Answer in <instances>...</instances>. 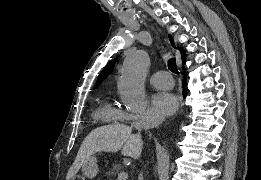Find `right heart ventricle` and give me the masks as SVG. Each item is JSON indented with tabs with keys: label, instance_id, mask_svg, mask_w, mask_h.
Returning a JSON list of instances; mask_svg holds the SVG:
<instances>
[{
	"label": "right heart ventricle",
	"instance_id": "1",
	"mask_svg": "<svg viewBox=\"0 0 261 180\" xmlns=\"http://www.w3.org/2000/svg\"><path fill=\"white\" fill-rule=\"evenodd\" d=\"M120 112L114 106L113 101L110 98L104 99L96 105V109L93 115V121H108V122H120ZM146 119L151 117L150 113H145ZM94 127H107V126H94Z\"/></svg>",
	"mask_w": 261,
	"mask_h": 180
}]
</instances>
